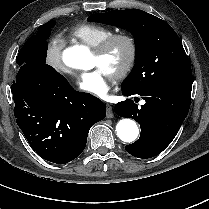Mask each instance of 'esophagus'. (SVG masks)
Returning <instances> with one entry per match:
<instances>
[{
    "label": "esophagus",
    "mask_w": 209,
    "mask_h": 209,
    "mask_svg": "<svg viewBox=\"0 0 209 209\" xmlns=\"http://www.w3.org/2000/svg\"><path fill=\"white\" fill-rule=\"evenodd\" d=\"M106 117L107 118H113L114 117V112H113V108L110 104H106Z\"/></svg>",
    "instance_id": "esophagus-1"
}]
</instances>
